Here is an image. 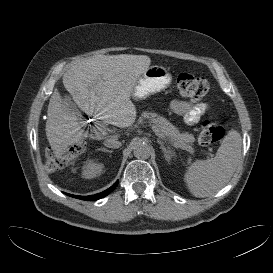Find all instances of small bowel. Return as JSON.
Instances as JSON below:
<instances>
[{"instance_id":"c3829d8e","label":"small bowel","mask_w":273,"mask_h":273,"mask_svg":"<svg viewBox=\"0 0 273 273\" xmlns=\"http://www.w3.org/2000/svg\"><path fill=\"white\" fill-rule=\"evenodd\" d=\"M171 108L175 113L183 115L188 124H194L207 112L208 105L175 100L172 102Z\"/></svg>"}]
</instances>
